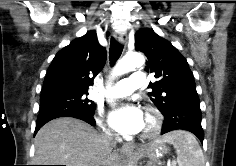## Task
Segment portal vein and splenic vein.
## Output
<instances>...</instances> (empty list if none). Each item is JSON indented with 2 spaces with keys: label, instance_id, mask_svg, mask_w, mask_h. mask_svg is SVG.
<instances>
[{
  "label": "portal vein and splenic vein",
  "instance_id": "18ae733b",
  "mask_svg": "<svg viewBox=\"0 0 236 166\" xmlns=\"http://www.w3.org/2000/svg\"><path fill=\"white\" fill-rule=\"evenodd\" d=\"M171 166H176V162L172 161Z\"/></svg>",
  "mask_w": 236,
  "mask_h": 166
}]
</instances>
